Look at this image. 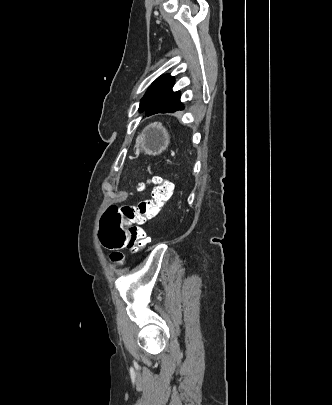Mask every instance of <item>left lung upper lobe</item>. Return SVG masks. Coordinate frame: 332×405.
Segmentation results:
<instances>
[{"label": "left lung upper lobe", "instance_id": "obj_1", "mask_svg": "<svg viewBox=\"0 0 332 405\" xmlns=\"http://www.w3.org/2000/svg\"><path fill=\"white\" fill-rule=\"evenodd\" d=\"M173 85L174 78L170 75H163L154 81L141 99L140 112L146 110L149 105L166 111L183 110L184 105L180 101V92H173Z\"/></svg>", "mask_w": 332, "mask_h": 405}]
</instances>
